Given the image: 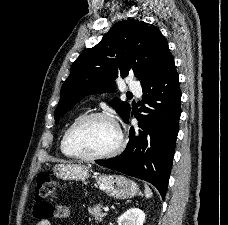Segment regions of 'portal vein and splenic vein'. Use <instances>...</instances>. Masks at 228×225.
Listing matches in <instances>:
<instances>
[{
	"instance_id": "obj_1",
	"label": "portal vein and splenic vein",
	"mask_w": 228,
	"mask_h": 225,
	"mask_svg": "<svg viewBox=\"0 0 228 225\" xmlns=\"http://www.w3.org/2000/svg\"><path fill=\"white\" fill-rule=\"evenodd\" d=\"M104 211H109L108 207H104Z\"/></svg>"
}]
</instances>
